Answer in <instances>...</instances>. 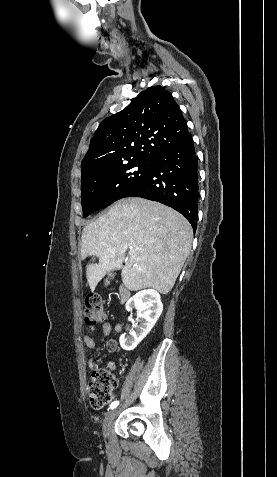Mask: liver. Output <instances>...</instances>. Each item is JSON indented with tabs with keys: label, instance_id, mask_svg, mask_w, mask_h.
Segmentation results:
<instances>
[{
	"label": "liver",
	"instance_id": "1",
	"mask_svg": "<svg viewBox=\"0 0 277 477\" xmlns=\"http://www.w3.org/2000/svg\"><path fill=\"white\" fill-rule=\"evenodd\" d=\"M193 231L177 211L159 202L126 198L86 225L81 237V258H99L89 264L87 281L93 291L106 273L122 268L128 290L154 288L167 294L191 249ZM129 259L122 267L125 253Z\"/></svg>",
	"mask_w": 277,
	"mask_h": 477
}]
</instances>
